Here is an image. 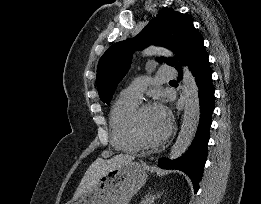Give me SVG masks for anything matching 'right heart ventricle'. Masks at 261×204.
<instances>
[{
	"instance_id": "e07e8e85",
	"label": "right heart ventricle",
	"mask_w": 261,
	"mask_h": 204,
	"mask_svg": "<svg viewBox=\"0 0 261 204\" xmlns=\"http://www.w3.org/2000/svg\"><path fill=\"white\" fill-rule=\"evenodd\" d=\"M139 102L120 97L113 104L109 115L110 140L112 146L122 152L134 153L140 146L129 132V121Z\"/></svg>"
}]
</instances>
